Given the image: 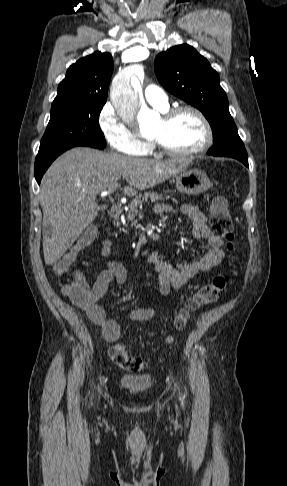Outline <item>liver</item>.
<instances>
[{
  "instance_id": "1",
  "label": "liver",
  "mask_w": 287,
  "mask_h": 486,
  "mask_svg": "<svg viewBox=\"0 0 287 486\" xmlns=\"http://www.w3.org/2000/svg\"><path fill=\"white\" fill-rule=\"evenodd\" d=\"M190 159L165 161L73 148L58 157L41 181L43 253L46 265L56 263L96 218V196L123 177L124 194L151 188L183 171Z\"/></svg>"
}]
</instances>
